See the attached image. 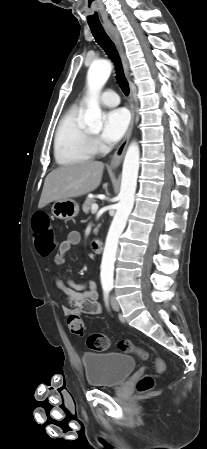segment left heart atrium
<instances>
[{
  "label": "left heart atrium",
  "instance_id": "left-heart-atrium-1",
  "mask_svg": "<svg viewBox=\"0 0 207 449\" xmlns=\"http://www.w3.org/2000/svg\"><path fill=\"white\" fill-rule=\"evenodd\" d=\"M129 122L130 116L126 109L118 108L109 111L105 115L102 139L108 143L118 141L126 132Z\"/></svg>",
  "mask_w": 207,
  "mask_h": 449
}]
</instances>
